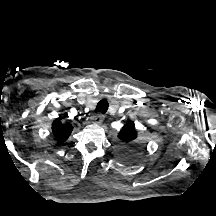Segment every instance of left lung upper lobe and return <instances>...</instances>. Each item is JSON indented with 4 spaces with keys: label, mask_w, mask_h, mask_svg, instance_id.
<instances>
[{
    "label": "left lung upper lobe",
    "mask_w": 216,
    "mask_h": 216,
    "mask_svg": "<svg viewBox=\"0 0 216 216\" xmlns=\"http://www.w3.org/2000/svg\"><path fill=\"white\" fill-rule=\"evenodd\" d=\"M120 140L121 152L119 158L126 162L132 163L143 149L144 143L138 139V131L132 122H127L118 133Z\"/></svg>",
    "instance_id": "1"
}]
</instances>
